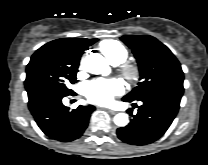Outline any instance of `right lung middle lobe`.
Here are the masks:
<instances>
[{"label":"right lung middle lobe","instance_id":"dd1d6c3e","mask_svg":"<svg viewBox=\"0 0 208 165\" xmlns=\"http://www.w3.org/2000/svg\"><path fill=\"white\" fill-rule=\"evenodd\" d=\"M81 55L82 51L52 41L39 48L26 68L28 99L48 92L72 93L68 84L76 82Z\"/></svg>","mask_w":208,"mask_h":165}]
</instances>
